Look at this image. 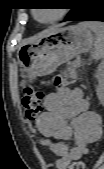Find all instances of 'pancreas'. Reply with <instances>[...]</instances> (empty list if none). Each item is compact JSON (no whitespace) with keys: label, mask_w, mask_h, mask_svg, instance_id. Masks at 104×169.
I'll list each match as a JSON object with an SVG mask.
<instances>
[{"label":"pancreas","mask_w":104,"mask_h":169,"mask_svg":"<svg viewBox=\"0 0 104 169\" xmlns=\"http://www.w3.org/2000/svg\"><path fill=\"white\" fill-rule=\"evenodd\" d=\"M70 65L75 70L81 66V63H80V61H74V62L70 63Z\"/></svg>","instance_id":"cf45deb5"}]
</instances>
